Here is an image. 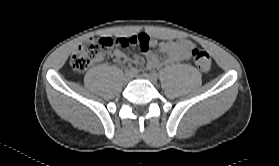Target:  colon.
Listing matches in <instances>:
<instances>
[{
  "label": "colon",
  "instance_id": "5ec220e1",
  "mask_svg": "<svg viewBox=\"0 0 279 166\" xmlns=\"http://www.w3.org/2000/svg\"><path fill=\"white\" fill-rule=\"evenodd\" d=\"M145 37L140 38H108L102 37L98 39L91 38L82 44L72 55L70 59L71 67L76 72L87 70L93 63L101 61L112 46L127 47L133 44L144 45ZM191 57L196 67L207 72L212 65L210 54L199 48H194L191 51Z\"/></svg>",
  "mask_w": 279,
  "mask_h": 166
}]
</instances>
